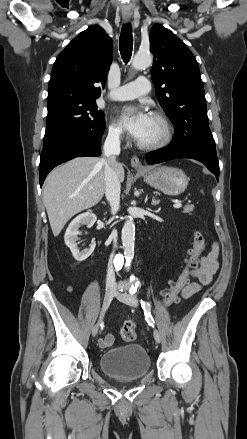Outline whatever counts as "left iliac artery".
Returning a JSON list of instances; mask_svg holds the SVG:
<instances>
[{
    "mask_svg": "<svg viewBox=\"0 0 247 439\" xmlns=\"http://www.w3.org/2000/svg\"><path fill=\"white\" fill-rule=\"evenodd\" d=\"M140 302H141V306L144 310L145 319L147 320V322L150 326L154 327L155 321H154L152 314H151L150 303L148 301H143V300H141Z\"/></svg>",
    "mask_w": 247,
    "mask_h": 439,
    "instance_id": "obj_1",
    "label": "left iliac artery"
}]
</instances>
